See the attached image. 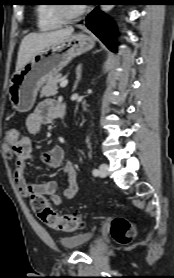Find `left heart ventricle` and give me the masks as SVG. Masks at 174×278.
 <instances>
[{"label": "left heart ventricle", "instance_id": "b2bd125f", "mask_svg": "<svg viewBox=\"0 0 174 278\" xmlns=\"http://www.w3.org/2000/svg\"><path fill=\"white\" fill-rule=\"evenodd\" d=\"M71 8L73 10H77V9L81 8V6L80 5H73V6H71Z\"/></svg>", "mask_w": 174, "mask_h": 278}]
</instances>
